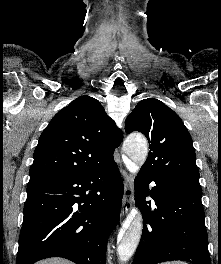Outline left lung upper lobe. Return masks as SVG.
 Instances as JSON below:
<instances>
[{
    "mask_svg": "<svg viewBox=\"0 0 221 264\" xmlns=\"http://www.w3.org/2000/svg\"><path fill=\"white\" fill-rule=\"evenodd\" d=\"M126 133L140 131L150 151L141 170L167 182L201 191L191 136L180 117L155 98L141 100L125 121Z\"/></svg>",
    "mask_w": 221,
    "mask_h": 264,
    "instance_id": "1",
    "label": "left lung upper lobe"
}]
</instances>
